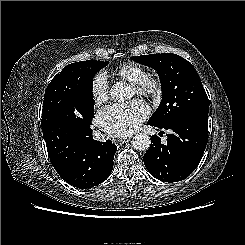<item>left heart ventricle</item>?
Listing matches in <instances>:
<instances>
[{
  "label": "left heart ventricle",
  "mask_w": 245,
  "mask_h": 245,
  "mask_svg": "<svg viewBox=\"0 0 245 245\" xmlns=\"http://www.w3.org/2000/svg\"><path fill=\"white\" fill-rule=\"evenodd\" d=\"M131 91H132V95H134L135 94V90L132 88Z\"/></svg>",
  "instance_id": "b2bd125f"
}]
</instances>
